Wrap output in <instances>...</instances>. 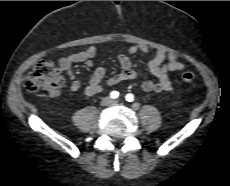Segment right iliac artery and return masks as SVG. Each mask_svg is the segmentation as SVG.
I'll return each mask as SVG.
<instances>
[{
  "instance_id": "82829eb1",
  "label": "right iliac artery",
  "mask_w": 230,
  "mask_h": 186,
  "mask_svg": "<svg viewBox=\"0 0 230 186\" xmlns=\"http://www.w3.org/2000/svg\"><path fill=\"white\" fill-rule=\"evenodd\" d=\"M110 97H111L112 99L118 98V97H119V92H117V91H112V92L110 93Z\"/></svg>"
}]
</instances>
